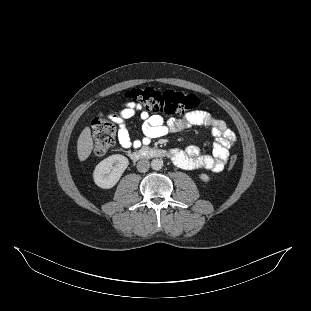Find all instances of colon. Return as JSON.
<instances>
[{
  "label": "colon",
  "mask_w": 311,
  "mask_h": 311,
  "mask_svg": "<svg viewBox=\"0 0 311 311\" xmlns=\"http://www.w3.org/2000/svg\"><path fill=\"white\" fill-rule=\"evenodd\" d=\"M128 99L144 107L146 110L166 115L184 114L199 104V98L192 93L175 90H155L152 88L132 89L126 93ZM94 134V153L98 156L106 154L113 146L116 129L112 122L103 114L92 121ZM237 156L233 155L229 161V169L235 167Z\"/></svg>",
  "instance_id": "colon-1"
}]
</instances>
